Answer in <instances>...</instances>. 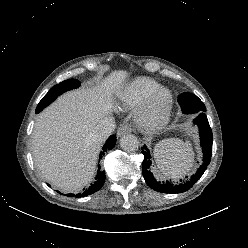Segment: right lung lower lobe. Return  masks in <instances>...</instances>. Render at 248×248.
Segmentation results:
<instances>
[{"instance_id":"right-lung-lower-lobe-1","label":"right lung lower lobe","mask_w":248,"mask_h":248,"mask_svg":"<svg viewBox=\"0 0 248 248\" xmlns=\"http://www.w3.org/2000/svg\"><path fill=\"white\" fill-rule=\"evenodd\" d=\"M115 144H116V136L112 135L108 138V140L106 141V144L103 146L102 152L99 155V160L103 157L105 152L111 150L115 146ZM104 182H105V171H101L100 166H98V172L95 177L94 184H92L88 188H84L83 192L80 193L79 195H76L75 197H84V196L95 193L103 186ZM67 196L73 197L74 194H67Z\"/></svg>"}]
</instances>
